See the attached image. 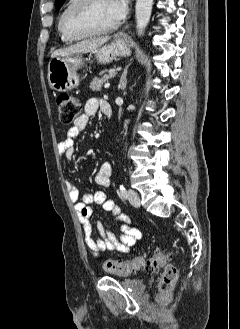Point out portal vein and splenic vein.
I'll use <instances>...</instances> for the list:
<instances>
[{
  "instance_id": "18ae733b",
  "label": "portal vein and splenic vein",
  "mask_w": 240,
  "mask_h": 329,
  "mask_svg": "<svg viewBox=\"0 0 240 329\" xmlns=\"http://www.w3.org/2000/svg\"><path fill=\"white\" fill-rule=\"evenodd\" d=\"M109 87H110V83L109 82L104 85V88H109Z\"/></svg>"
}]
</instances>
